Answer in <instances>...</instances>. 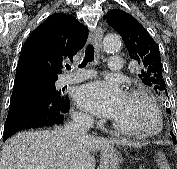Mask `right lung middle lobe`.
<instances>
[{
	"mask_svg": "<svg viewBox=\"0 0 177 169\" xmlns=\"http://www.w3.org/2000/svg\"><path fill=\"white\" fill-rule=\"evenodd\" d=\"M48 91L56 96L60 94V92L56 90L55 85L50 86V90Z\"/></svg>",
	"mask_w": 177,
	"mask_h": 169,
	"instance_id": "dd1d6c3e",
	"label": "right lung middle lobe"
}]
</instances>
